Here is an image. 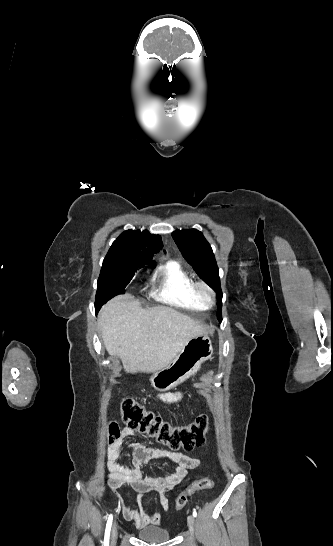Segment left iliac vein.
Listing matches in <instances>:
<instances>
[{
  "instance_id": "left-iliac-vein-1",
  "label": "left iliac vein",
  "mask_w": 333,
  "mask_h": 546,
  "mask_svg": "<svg viewBox=\"0 0 333 546\" xmlns=\"http://www.w3.org/2000/svg\"><path fill=\"white\" fill-rule=\"evenodd\" d=\"M187 523H188L189 531H190L191 536L193 538L195 519H194V517L192 515L188 516Z\"/></svg>"
}]
</instances>
